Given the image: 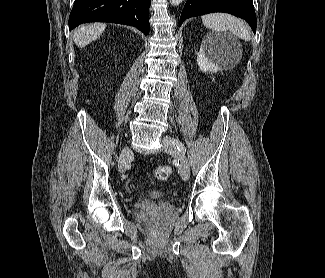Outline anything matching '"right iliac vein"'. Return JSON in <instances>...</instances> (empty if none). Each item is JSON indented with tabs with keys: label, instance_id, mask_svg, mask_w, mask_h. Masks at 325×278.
I'll return each mask as SVG.
<instances>
[{
	"label": "right iliac vein",
	"instance_id": "right-iliac-vein-1",
	"mask_svg": "<svg viewBox=\"0 0 325 278\" xmlns=\"http://www.w3.org/2000/svg\"><path fill=\"white\" fill-rule=\"evenodd\" d=\"M131 155H132L131 149L129 147H125L120 156V166H119L120 172L122 173L125 172L126 166L128 164Z\"/></svg>",
	"mask_w": 325,
	"mask_h": 278
}]
</instances>
